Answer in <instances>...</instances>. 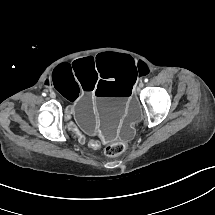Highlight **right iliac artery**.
I'll return each instance as SVG.
<instances>
[{"instance_id": "82829eb1", "label": "right iliac artery", "mask_w": 215, "mask_h": 215, "mask_svg": "<svg viewBox=\"0 0 215 215\" xmlns=\"http://www.w3.org/2000/svg\"><path fill=\"white\" fill-rule=\"evenodd\" d=\"M43 96H46V93H42Z\"/></svg>"}]
</instances>
